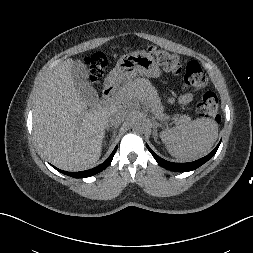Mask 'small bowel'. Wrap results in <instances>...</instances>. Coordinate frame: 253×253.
<instances>
[{"instance_id": "obj_1", "label": "small bowel", "mask_w": 253, "mask_h": 253, "mask_svg": "<svg viewBox=\"0 0 253 253\" xmlns=\"http://www.w3.org/2000/svg\"><path fill=\"white\" fill-rule=\"evenodd\" d=\"M193 99V95L191 93H185L182 94L179 98H178V103L181 105H186L188 103H190Z\"/></svg>"}]
</instances>
